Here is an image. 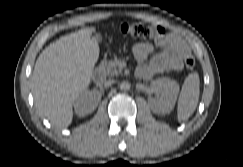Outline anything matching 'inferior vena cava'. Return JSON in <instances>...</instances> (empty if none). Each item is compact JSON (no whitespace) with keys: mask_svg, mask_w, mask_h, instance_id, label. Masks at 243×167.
<instances>
[{"mask_svg":"<svg viewBox=\"0 0 243 167\" xmlns=\"http://www.w3.org/2000/svg\"><path fill=\"white\" fill-rule=\"evenodd\" d=\"M115 81L112 79H109L107 81L104 82V86L105 87H110Z\"/></svg>","mask_w":243,"mask_h":167,"instance_id":"1","label":"inferior vena cava"}]
</instances>
